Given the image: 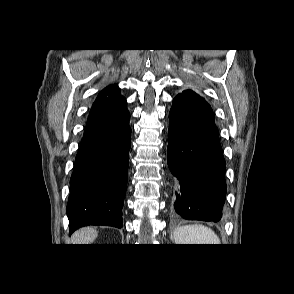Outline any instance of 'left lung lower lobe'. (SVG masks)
I'll return each mask as SVG.
<instances>
[{
  "label": "left lung lower lobe",
  "instance_id": "left-lung-lower-lobe-1",
  "mask_svg": "<svg viewBox=\"0 0 294 294\" xmlns=\"http://www.w3.org/2000/svg\"><path fill=\"white\" fill-rule=\"evenodd\" d=\"M167 161L174 175V211L188 220L217 222L225 201V160L210 105L193 91L173 99Z\"/></svg>",
  "mask_w": 294,
  "mask_h": 294
}]
</instances>
